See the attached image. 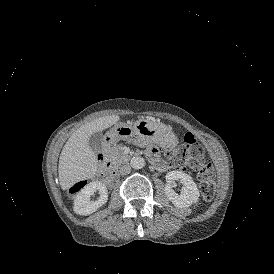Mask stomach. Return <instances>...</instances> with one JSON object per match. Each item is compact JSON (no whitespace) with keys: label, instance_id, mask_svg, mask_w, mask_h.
<instances>
[{"label":"stomach","instance_id":"1","mask_svg":"<svg viewBox=\"0 0 274 274\" xmlns=\"http://www.w3.org/2000/svg\"><path fill=\"white\" fill-rule=\"evenodd\" d=\"M106 137L111 144L125 140L141 147L155 143L164 149H172L178 143L171 127L149 118L139 119L133 125L117 123L106 133Z\"/></svg>","mask_w":274,"mask_h":274}]
</instances>
